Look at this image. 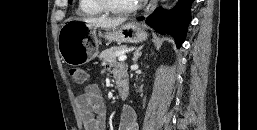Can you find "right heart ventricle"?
Instances as JSON below:
<instances>
[{
    "label": "right heart ventricle",
    "instance_id": "right-heart-ventricle-1",
    "mask_svg": "<svg viewBox=\"0 0 257 130\" xmlns=\"http://www.w3.org/2000/svg\"><path fill=\"white\" fill-rule=\"evenodd\" d=\"M104 11L99 8L94 0H78L77 14L81 16H97Z\"/></svg>",
    "mask_w": 257,
    "mask_h": 130
}]
</instances>
